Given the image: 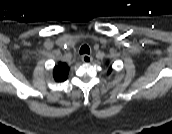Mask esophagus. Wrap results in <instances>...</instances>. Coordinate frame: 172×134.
I'll use <instances>...</instances> for the list:
<instances>
[{"label": "esophagus", "mask_w": 172, "mask_h": 134, "mask_svg": "<svg viewBox=\"0 0 172 134\" xmlns=\"http://www.w3.org/2000/svg\"><path fill=\"white\" fill-rule=\"evenodd\" d=\"M81 59L84 63H91L93 60L92 56L87 54L82 55Z\"/></svg>", "instance_id": "1"}]
</instances>
